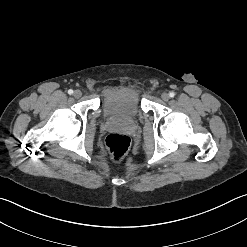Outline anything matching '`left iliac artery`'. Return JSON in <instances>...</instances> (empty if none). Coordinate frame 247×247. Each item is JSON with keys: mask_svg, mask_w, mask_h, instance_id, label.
I'll use <instances>...</instances> for the list:
<instances>
[{"mask_svg": "<svg viewBox=\"0 0 247 247\" xmlns=\"http://www.w3.org/2000/svg\"><path fill=\"white\" fill-rule=\"evenodd\" d=\"M169 96H170V97H174V96H175V93H174L173 91H171V92L169 93Z\"/></svg>", "mask_w": 247, "mask_h": 247, "instance_id": "left-iliac-artery-1", "label": "left iliac artery"}]
</instances>
